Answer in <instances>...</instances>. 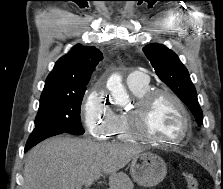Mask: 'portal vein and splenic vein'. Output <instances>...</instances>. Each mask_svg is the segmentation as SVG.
<instances>
[{"mask_svg": "<svg viewBox=\"0 0 223 189\" xmlns=\"http://www.w3.org/2000/svg\"><path fill=\"white\" fill-rule=\"evenodd\" d=\"M93 182H94V179H89L85 182V186H87V187L91 186Z\"/></svg>", "mask_w": 223, "mask_h": 189, "instance_id": "18ae733b", "label": "portal vein and splenic vein"}]
</instances>
